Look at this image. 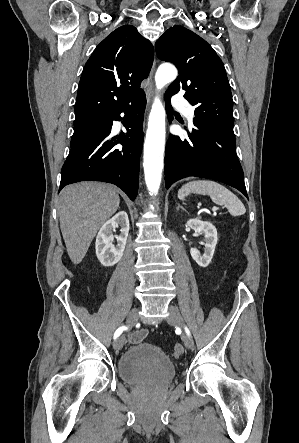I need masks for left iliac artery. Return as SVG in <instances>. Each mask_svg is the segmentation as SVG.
Returning <instances> with one entry per match:
<instances>
[{
    "label": "left iliac artery",
    "mask_w": 299,
    "mask_h": 443,
    "mask_svg": "<svg viewBox=\"0 0 299 443\" xmlns=\"http://www.w3.org/2000/svg\"><path fill=\"white\" fill-rule=\"evenodd\" d=\"M185 331H186L187 334L190 335L189 329L187 327H185Z\"/></svg>",
    "instance_id": "obj_1"
}]
</instances>
